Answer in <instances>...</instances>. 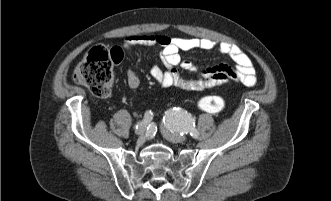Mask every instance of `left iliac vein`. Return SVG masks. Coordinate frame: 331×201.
<instances>
[{"mask_svg": "<svg viewBox=\"0 0 331 201\" xmlns=\"http://www.w3.org/2000/svg\"><path fill=\"white\" fill-rule=\"evenodd\" d=\"M163 135L164 137L173 142V143H183L186 141V136H182L180 134H177V133H171V132H168V131H163Z\"/></svg>", "mask_w": 331, "mask_h": 201, "instance_id": "obj_1", "label": "left iliac vein"}]
</instances>
